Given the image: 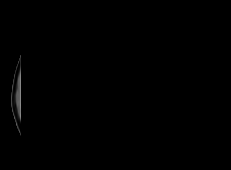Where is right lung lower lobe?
Returning <instances> with one entry per match:
<instances>
[{
	"label": "right lung lower lobe",
	"mask_w": 231,
	"mask_h": 170,
	"mask_svg": "<svg viewBox=\"0 0 231 170\" xmlns=\"http://www.w3.org/2000/svg\"><path fill=\"white\" fill-rule=\"evenodd\" d=\"M67 32V33H66ZM77 37L66 29L57 32L55 67H54V112L55 136L54 147L40 140L42 145L57 157L66 160L80 159L92 145L90 137L80 140L75 132L76 124L64 134L76 111L85 79L80 66V57L76 53ZM73 52V53H72ZM112 102L109 103V107ZM78 123V122H77Z\"/></svg>",
	"instance_id": "1"
}]
</instances>
